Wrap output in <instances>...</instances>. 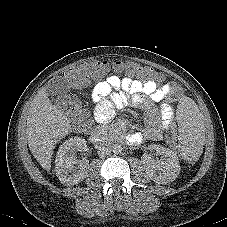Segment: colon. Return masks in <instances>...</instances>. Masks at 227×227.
Wrapping results in <instances>:
<instances>
[{"mask_svg": "<svg viewBox=\"0 0 227 227\" xmlns=\"http://www.w3.org/2000/svg\"><path fill=\"white\" fill-rule=\"evenodd\" d=\"M111 64L108 60L103 59L100 62L85 63L82 65L75 66L65 72L64 81L73 89H81L89 81L90 76L94 73L99 79L106 76L110 70ZM112 68L115 72H122L125 75H137L138 77H145L147 80L158 84H162L165 81L164 76L161 75L160 71L156 68L147 67L146 65H136L133 62H122L117 60L113 63ZM181 94V89L177 85H172L168 93L169 100H175ZM59 105L66 113L74 115L76 118L77 126L80 128H86L88 125V115L86 110L81 105L80 101L74 97H68L61 99ZM167 135L165 137V143L169 150H178V130L174 122L169 121L165 125Z\"/></svg>", "mask_w": 227, "mask_h": 227, "instance_id": "5ec220e1", "label": "colon"}]
</instances>
